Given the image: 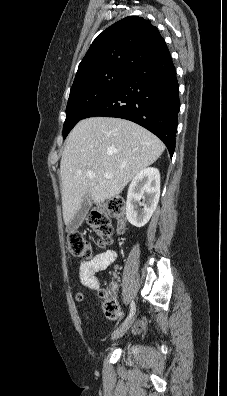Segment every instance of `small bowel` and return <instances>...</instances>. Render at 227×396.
I'll use <instances>...</instances> for the list:
<instances>
[{"label":"small bowel","mask_w":227,"mask_h":396,"mask_svg":"<svg viewBox=\"0 0 227 396\" xmlns=\"http://www.w3.org/2000/svg\"><path fill=\"white\" fill-rule=\"evenodd\" d=\"M116 252L107 250L96 254L90 259L83 260L79 264V276L82 284L87 288L94 290L98 286L96 274L109 267L116 259ZM111 293L116 296L118 292V285L112 283L110 286ZM120 312L117 313L118 317Z\"/></svg>","instance_id":"c3829d8e"}]
</instances>
